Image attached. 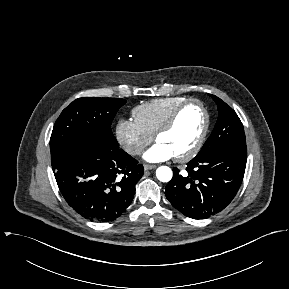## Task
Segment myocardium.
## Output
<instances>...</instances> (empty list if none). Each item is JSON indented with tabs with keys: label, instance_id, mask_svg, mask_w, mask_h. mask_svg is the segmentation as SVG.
<instances>
[{
	"label": "myocardium",
	"instance_id": "f54148a6",
	"mask_svg": "<svg viewBox=\"0 0 289 289\" xmlns=\"http://www.w3.org/2000/svg\"><path fill=\"white\" fill-rule=\"evenodd\" d=\"M191 104H196L202 109L204 113V117H205L204 126L200 133L199 138L197 139L193 147L190 150H188L186 153L179 155V156H175V159L178 162H186L192 159L193 157H195L199 153V151L201 150V148L203 147L205 143V140L208 135L209 128H210V122H211L210 113L207 107L205 106V104L201 100L196 99V98H189L185 100L172 111V113L169 115L166 121L160 126V128L154 134V139L155 141H157V139L161 135L169 132L174 127L182 111Z\"/></svg>",
	"mask_w": 289,
	"mask_h": 289
}]
</instances>
